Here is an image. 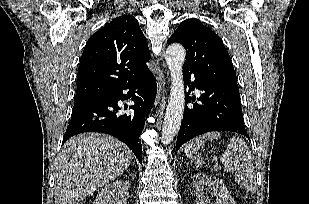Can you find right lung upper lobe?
I'll list each match as a JSON object with an SVG mask.
<instances>
[{"instance_id": "right-lung-upper-lobe-1", "label": "right lung upper lobe", "mask_w": 309, "mask_h": 204, "mask_svg": "<svg viewBox=\"0 0 309 204\" xmlns=\"http://www.w3.org/2000/svg\"><path fill=\"white\" fill-rule=\"evenodd\" d=\"M147 40L132 15L115 18L88 40L77 74L76 101L138 79L149 69Z\"/></svg>"}]
</instances>
